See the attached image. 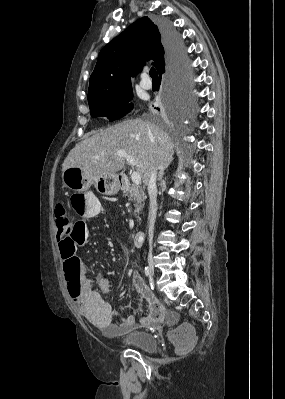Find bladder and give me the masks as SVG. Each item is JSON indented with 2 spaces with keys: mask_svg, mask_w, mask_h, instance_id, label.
<instances>
[{
  "mask_svg": "<svg viewBox=\"0 0 285 399\" xmlns=\"http://www.w3.org/2000/svg\"><path fill=\"white\" fill-rule=\"evenodd\" d=\"M107 333L106 329L101 330ZM126 346L143 350L145 352H155L157 350V342L152 333L135 332L121 340Z\"/></svg>",
  "mask_w": 285,
  "mask_h": 399,
  "instance_id": "bladder-1",
  "label": "bladder"
}]
</instances>
